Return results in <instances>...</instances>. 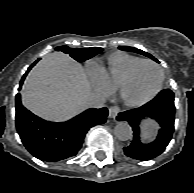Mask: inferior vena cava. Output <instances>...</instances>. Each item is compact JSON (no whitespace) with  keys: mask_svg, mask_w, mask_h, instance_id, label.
Masks as SVG:
<instances>
[{"mask_svg":"<svg viewBox=\"0 0 194 193\" xmlns=\"http://www.w3.org/2000/svg\"><path fill=\"white\" fill-rule=\"evenodd\" d=\"M105 103V98L100 93H91L86 99V106L89 108H102Z\"/></svg>","mask_w":194,"mask_h":193,"instance_id":"1","label":"inferior vena cava"}]
</instances>
